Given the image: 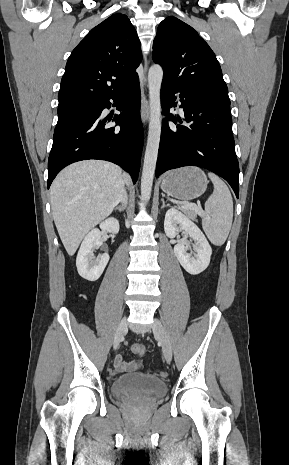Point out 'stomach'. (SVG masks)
<instances>
[{"mask_svg":"<svg viewBox=\"0 0 289 465\" xmlns=\"http://www.w3.org/2000/svg\"><path fill=\"white\" fill-rule=\"evenodd\" d=\"M205 173L197 167H183L171 171L163 177L161 189L180 200H193L201 196L207 188Z\"/></svg>","mask_w":289,"mask_h":465,"instance_id":"obj_1","label":"stomach"}]
</instances>
